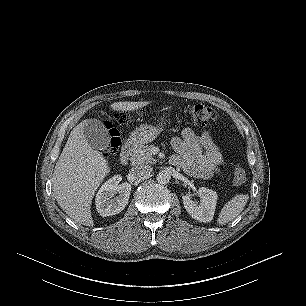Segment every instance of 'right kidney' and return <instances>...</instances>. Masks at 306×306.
I'll list each match as a JSON object with an SVG mask.
<instances>
[{"label": "right kidney", "instance_id": "right-kidney-1", "mask_svg": "<svg viewBox=\"0 0 306 306\" xmlns=\"http://www.w3.org/2000/svg\"><path fill=\"white\" fill-rule=\"evenodd\" d=\"M122 177L115 175L107 180L96 194V209L102 217L120 213L128 203L131 185L127 182L119 184ZM119 193L114 199L112 197Z\"/></svg>", "mask_w": 306, "mask_h": 306}]
</instances>
